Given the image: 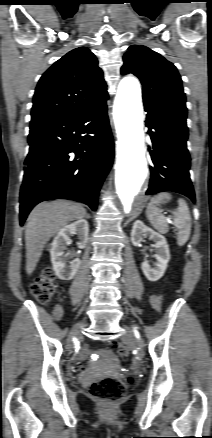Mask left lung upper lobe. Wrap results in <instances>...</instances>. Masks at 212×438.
<instances>
[{"instance_id": "1", "label": "left lung upper lobe", "mask_w": 212, "mask_h": 438, "mask_svg": "<svg viewBox=\"0 0 212 438\" xmlns=\"http://www.w3.org/2000/svg\"><path fill=\"white\" fill-rule=\"evenodd\" d=\"M128 50L121 73H132L140 79L144 105L186 117V98L176 67L148 47L132 45Z\"/></svg>"}]
</instances>
